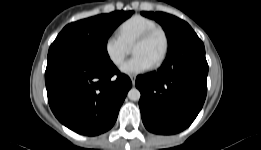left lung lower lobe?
I'll return each instance as SVG.
<instances>
[{"label":"left lung lower lobe","mask_w":261,"mask_h":150,"mask_svg":"<svg viewBox=\"0 0 261 150\" xmlns=\"http://www.w3.org/2000/svg\"><path fill=\"white\" fill-rule=\"evenodd\" d=\"M207 74L205 48L194 33L168 51L157 71L137 76L139 106L146 129L170 135L189 127L204 104Z\"/></svg>","instance_id":"0a47b994"}]
</instances>
